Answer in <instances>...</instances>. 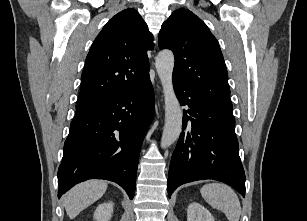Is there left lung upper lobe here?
Returning <instances> with one entry per match:
<instances>
[{
	"label": "left lung upper lobe",
	"mask_w": 307,
	"mask_h": 221,
	"mask_svg": "<svg viewBox=\"0 0 307 221\" xmlns=\"http://www.w3.org/2000/svg\"><path fill=\"white\" fill-rule=\"evenodd\" d=\"M159 48L175 55L173 78L198 97L232 114L227 69L216 38L188 9L175 10L159 32Z\"/></svg>",
	"instance_id": "5c2ea615"
}]
</instances>
